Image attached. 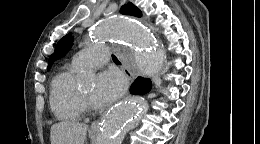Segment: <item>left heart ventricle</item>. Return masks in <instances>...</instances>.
I'll return each mask as SVG.
<instances>
[{"label": "left heart ventricle", "mask_w": 260, "mask_h": 144, "mask_svg": "<svg viewBox=\"0 0 260 144\" xmlns=\"http://www.w3.org/2000/svg\"><path fill=\"white\" fill-rule=\"evenodd\" d=\"M84 93L89 97L92 98V94H93V90H94V86L93 85H89V86H85L82 88Z\"/></svg>", "instance_id": "1"}]
</instances>
